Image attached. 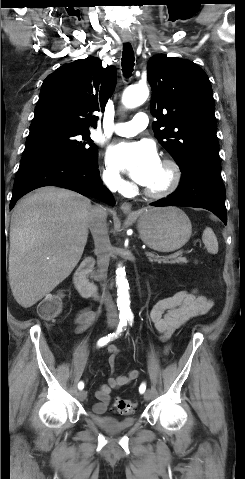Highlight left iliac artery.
<instances>
[{
	"label": "left iliac artery",
	"mask_w": 245,
	"mask_h": 479,
	"mask_svg": "<svg viewBox=\"0 0 245 479\" xmlns=\"http://www.w3.org/2000/svg\"><path fill=\"white\" fill-rule=\"evenodd\" d=\"M127 319H128V321H129V323L132 325L133 315H129V316L127 317ZM145 390H146V385H145V383H142V384L140 385V387H139V392H140V393H144Z\"/></svg>",
	"instance_id": "left-iliac-artery-1"
}]
</instances>
